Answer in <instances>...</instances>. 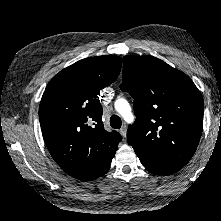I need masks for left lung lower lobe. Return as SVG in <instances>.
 <instances>
[{
	"instance_id": "0a47b994",
	"label": "left lung lower lobe",
	"mask_w": 221,
	"mask_h": 221,
	"mask_svg": "<svg viewBox=\"0 0 221 221\" xmlns=\"http://www.w3.org/2000/svg\"><path fill=\"white\" fill-rule=\"evenodd\" d=\"M143 166L153 174L169 175L177 172L184 166L165 161L153 156L136 153Z\"/></svg>"
}]
</instances>
